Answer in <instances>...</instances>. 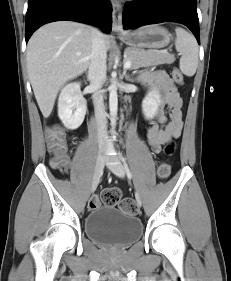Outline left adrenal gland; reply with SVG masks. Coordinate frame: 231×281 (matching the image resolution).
<instances>
[{
	"mask_svg": "<svg viewBox=\"0 0 231 281\" xmlns=\"http://www.w3.org/2000/svg\"><path fill=\"white\" fill-rule=\"evenodd\" d=\"M124 75H125V79L127 81L133 82V79L129 75L126 74V70H124Z\"/></svg>",
	"mask_w": 231,
	"mask_h": 281,
	"instance_id": "left-adrenal-gland-1",
	"label": "left adrenal gland"
}]
</instances>
